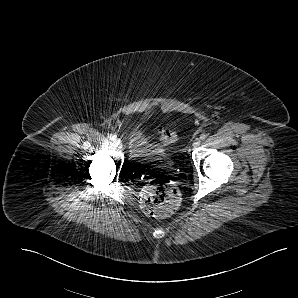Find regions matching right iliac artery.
Here are the masks:
<instances>
[{"mask_svg":"<svg viewBox=\"0 0 298 298\" xmlns=\"http://www.w3.org/2000/svg\"><path fill=\"white\" fill-rule=\"evenodd\" d=\"M109 139L112 140V141H114L116 139V136L115 135H110L109 136Z\"/></svg>","mask_w":298,"mask_h":298,"instance_id":"82829eb1","label":"right iliac artery"}]
</instances>
